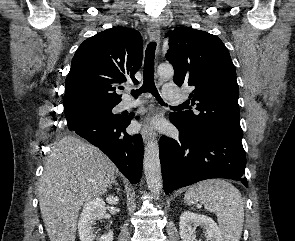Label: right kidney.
Segmentation results:
<instances>
[{
    "label": "right kidney",
    "mask_w": 295,
    "mask_h": 241,
    "mask_svg": "<svg viewBox=\"0 0 295 241\" xmlns=\"http://www.w3.org/2000/svg\"><path fill=\"white\" fill-rule=\"evenodd\" d=\"M106 202L111 205H116L119 202L117 196L109 195ZM106 213L105 201L101 198H94L84 205L80 219L78 222V233L81 241H93L94 235L92 225L96 219H101ZM100 241H113V232L101 236Z\"/></svg>",
    "instance_id": "obj_1"
}]
</instances>
